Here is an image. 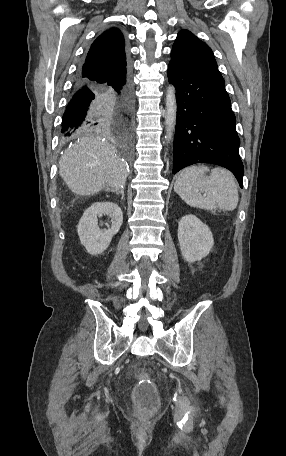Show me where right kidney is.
<instances>
[{"instance_id":"obj_1","label":"right kidney","mask_w":286,"mask_h":456,"mask_svg":"<svg viewBox=\"0 0 286 456\" xmlns=\"http://www.w3.org/2000/svg\"><path fill=\"white\" fill-rule=\"evenodd\" d=\"M107 215L111 218V227L101 230L98 227V217ZM123 223V213L120 207L113 202L93 203L83 214L78 224V236L81 244L91 255L104 252L112 237L118 233Z\"/></svg>"}]
</instances>
